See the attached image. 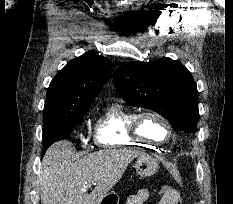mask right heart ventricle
Returning a JSON list of instances; mask_svg holds the SVG:
<instances>
[{
    "label": "right heart ventricle",
    "mask_w": 233,
    "mask_h": 204,
    "mask_svg": "<svg viewBox=\"0 0 233 204\" xmlns=\"http://www.w3.org/2000/svg\"><path fill=\"white\" fill-rule=\"evenodd\" d=\"M122 103L110 104L95 123L94 139L103 148L148 147V142L131 134L130 125L135 115Z\"/></svg>",
    "instance_id": "right-heart-ventricle-1"
}]
</instances>
